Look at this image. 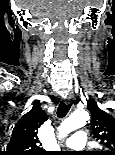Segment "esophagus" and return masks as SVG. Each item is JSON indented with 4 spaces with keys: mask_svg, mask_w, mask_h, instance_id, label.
Masks as SVG:
<instances>
[{
    "mask_svg": "<svg viewBox=\"0 0 115 155\" xmlns=\"http://www.w3.org/2000/svg\"><path fill=\"white\" fill-rule=\"evenodd\" d=\"M73 100V96L72 95H68L65 97V103L66 104H71Z\"/></svg>",
    "mask_w": 115,
    "mask_h": 155,
    "instance_id": "obj_1",
    "label": "esophagus"
}]
</instances>
